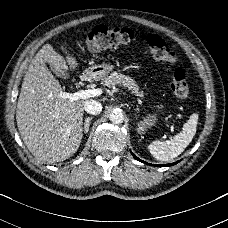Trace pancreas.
I'll return each mask as SVG.
<instances>
[{
    "label": "pancreas",
    "mask_w": 228,
    "mask_h": 228,
    "mask_svg": "<svg viewBox=\"0 0 228 228\" xmlns=\"http://www.w3.org/2000/svg\"><path fill=\"white\" fill-rule=\"evenodd\" d=\"M106 86L122 85L123 87L132 91L136 96H143V93L139 92V87L136 85L130 77L123 75L122 73L113 72L110 76L104 79Z\"/></svg>",
    "instance_id": "1"
}]
</instances>
